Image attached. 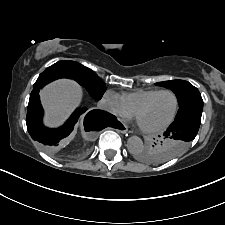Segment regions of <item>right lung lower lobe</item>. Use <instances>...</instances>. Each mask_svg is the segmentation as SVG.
I'll use <instances>...</instances> for the list:
<instances>
[{
    "label": "right lung lower lobe",
    "instance_id": "1",
    "mask_svg": "<svg viewBox=\"0 0 225 225\" xmlns=\"http://www.w3.org/2000/svg\"><path fill=\"white\" fill-rule=\"evenodd\" d=\"M58 78L69 77L60 73L42 72L39 75L33 85L26 117L27 129L30 136L33 140L38 141L48 152L55 151L62 144L64 139L73 131L79 116L86 112L85 108L77 109L69 120L57 129H49L43 126V109L39 99V91L44 85ZM113 120H116V118L109 113L101 110H92L85 116L84 126L87 131L101 130L107 126V123Z\"/></svg>",
    "mask_w": 225,
    "mask_h": 225
}]
</instances>
